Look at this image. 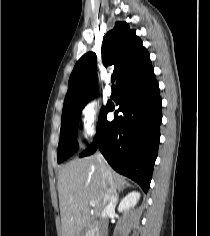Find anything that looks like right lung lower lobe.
<instances>
[{
  "mask_svg": "<svg viewBox=\"0 0 210 236\" xmlns=\"http://www.w3.org/2000/svg\"><path fill=\"white\" fill-rule=\"evenodd\" d=\"M119 109L115 119L106 114L93 144L80 157L93 154L98 146L108 163L120 174L137 182L147 192L160 139L161 98L151 62L118 85ZM122 112L121 115H118Z\"/></svg>",
  "mask_w": 210,
  "mask_h": 236,
  "instance_id": "right-lung-lower-lobe-1",
  "label": "right lung lower lobe"
}]
</instances>
